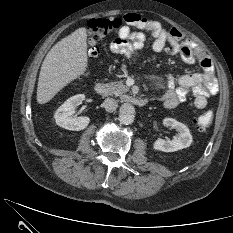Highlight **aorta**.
Masks as SVG:
<instances>
[{
	"label": "aorta",
	"mask_w": 233,
	"mask_h": 233,
	"mask_svg": "<svg viewBox=\"0 0 233 233\" xmlns=\"http://www.w3.org/2000/svg\"><path fill=\"white\" fill-rule=\"evenodd\" d=\"M135 108L130 103H124L119 109V121L122 124L129 125L134 121Z\"/></svg>",
	"instance_id": "1"
}]
</instances>
